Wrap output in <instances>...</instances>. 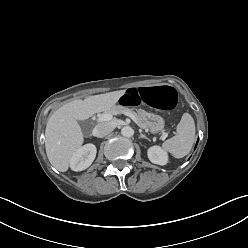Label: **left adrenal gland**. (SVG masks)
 Here are the masks:
<instances>
[{"instance_id":"obj_1","label":"left adrenal gland","mask_w":248,"mask_h":248,"mask_svg":"<svg viewBox=\"0 0 248 248\" xmlns=\"http://www.w3.org/2000/svg\"><path fill=\"white\" fill-rule=\"evenodd\" d=\"M139 132H140V138H144L150 141V139L146 135L142 134L141 130H139Z\"/></svg>"}]
</instances>
